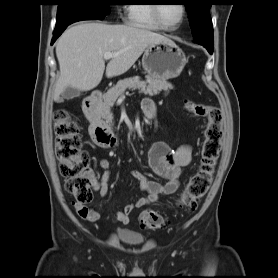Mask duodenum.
I'll list each match as a JSON object with an SVG mask.
<instances>
[{
  "instance_id": "obj_1",
  "label": "duodenum",
  "mask_w": 278,
  "mask_h": 278,
  "mask_svg": "<svg viewBox=\"0 0 278 278\" xmlns=\"http://www.w3.org/2000/svg\"><path fill=\"white\" fill-rule=\"evenodd\" d=\"M102 99V92L93 91L83 102V111L90 123L89 132L92 139L100 146L110 147L117 143L116 135L101 120L98 107Z\"/></svg>"
}]
</instances>
